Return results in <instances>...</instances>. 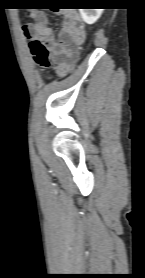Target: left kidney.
<instances>
[{
    "label": "left kidney",
    "instance_id": "obj_1",
    "mask_svg": "<svg viewBox=\"0 0 145 278\" xmlns=\"http://www.w3.org/2000/svg\"><path fill=\"white\" fill-rule=\"evenodd\" d=\"M79 11L84 22L93 24L100 18L104 9H79Z\"/></svg>",
    "mask_w": 145,
    "mask_h": 278
}]
</instances>
